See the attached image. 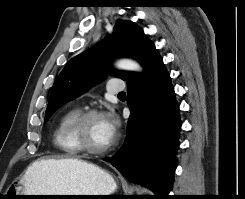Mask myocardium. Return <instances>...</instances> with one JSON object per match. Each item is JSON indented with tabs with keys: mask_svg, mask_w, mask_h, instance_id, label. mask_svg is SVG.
Here are the masks:
<instances>
[{
	"mask_svg": "<svg viewBox=\"0 0 245 199\" xmlns=\"http://www.w3.org/2000/svg\"><path fill=\"white\" fill-rule=\"evenodd\" d=\"M95 116H105V113L95 108L81 111L71 122L70 135L73 136L74 143L80 151L88 154L100 155L110 151L114 146V141L111 140L109 145L101 148L91 147L85 142L82 136L85 125L89 119Z\"/></svg>",
	"mask_w": 245,
	"mask_h": 199,
	"instance_id": "f54148a6",
	"label": "myocardium"
}]
</instances>
